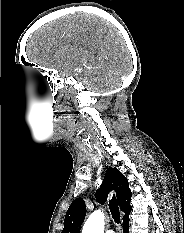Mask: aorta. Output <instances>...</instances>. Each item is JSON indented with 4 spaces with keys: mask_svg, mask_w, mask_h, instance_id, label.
Returning <instances> with one entry per match:
<instances>
[{
    "mask_svg": "<svg viewBox=\"0 0 184 233\" xmlns=\"http://www.w3.org/2000/svg\"><path fill=\"white\" fill-rule=\"evenodd\" d=\"M104 214L101 211L93 212L85 222L82 233H103Z\"/></svg>",
    "mask_w": 184,
    "mask_h": 233,
    "instance_id": "aorta-1",
    "label": "aorta"
}]
</instances>
